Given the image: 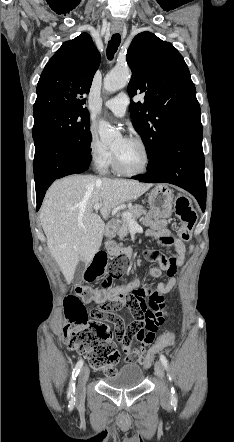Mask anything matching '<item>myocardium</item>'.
Here are the masks:
<instances>
[{
  "mask_svg": "<svg viewBox=\"0 0 234 442\" xmlns=\"http://www.w3.org/2000/svg\"><path fill=\"white\" fill-rule=\"evenodd\" d=\"M126 140L135 142V143H137L142 148L143 153H144V163H143V166L140 169H138V170L128 171V170L124 169L121 166V164H120V162L118 160L117 154L113 151V167H114V169L118 173H120L121 175L129 176V177L139 176V175H142V174L146 173L148 168H149V166H150V162H151V154H150V150H149L148 145L145 143V141H143L139 137L132 136V137L127 138Z\"/></svg>",
  "mask_w": 234,
  "mask_h": 442,
  "instance_id": "myocardium-1",
  "label": "myocardium"
}]
</instances>
